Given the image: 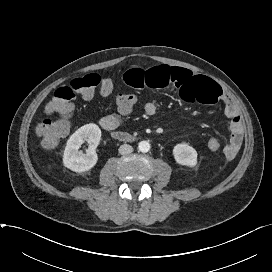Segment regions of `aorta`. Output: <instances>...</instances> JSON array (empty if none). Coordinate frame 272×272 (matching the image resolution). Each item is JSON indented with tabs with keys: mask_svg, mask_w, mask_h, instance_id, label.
<instances>
[{
	"mask_svg": "<svg viewBox=\"0 0 272 272\" xmlns=\"http://www.w3.org/2000/svg\"><path fill=\"white\" fill-rule=\"evenodd\" d=\"M138 149L143 153L148 152L150 150V144L147 141H141L138 144Z\"/></svg>",
	"mask_w": 272,
	"mask_h": 272,
	"instance_id": "obj_1",
	"label": "aorta"
}]
</instances>
